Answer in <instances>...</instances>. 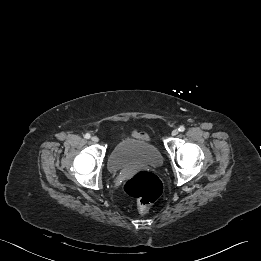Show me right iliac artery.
I'll list each match as a JSON object with an SVG mask.
<instances>
[{
    "instance_id": "1",
    "label": "right iliac artery",
    "mask_w": 261,
    "mask_h": 261,
    "mask_svg": "<svg viewBox=\"0 0 261 261\" xmlns=\"http://www.w3.org/2000/svg\"><path fill=\"white\" fill-rule=\"evenodd\" d=\"M86 139H90L91 135L89 133L85 134L84 136Z\"/></svg>"
}]
</instances>
